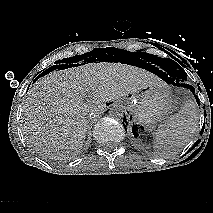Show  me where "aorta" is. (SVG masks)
Wrapping results in <instances>:
<instances>
[{
	"label": "aorta",
	"mask_w": 213,
	"mask_h": 213,
	"mask_svg": "<svg viewBox=\"0 0 213 213\" xmlns=\"http://www.w3.org/2000/svg\"><path fill=\"white\" fill-rule=\"evenodd\" d=\"M125 109L121 104H114L109 111L111 118L121 120L124 117Z\"/></svg>",
	"instance_id": "aorta-1"
}]
</instances>
